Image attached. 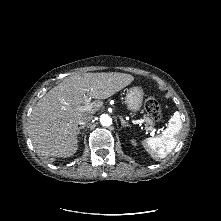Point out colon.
Returning <instances> with one entry per match:
<instances>
[{
    "instance_id": "5ec220e1",
    "label": "colon",
    "mask_w": 221,
    "mask_h": 221,
    "mask_svg": "<svg viewBox=\"0 0 221 221\" xmlns=\"http://www.w3.org/2000/svg\"><path fill=\"white\" fill-rule=\"evenodd\" d=\"M144 107L146 112L151 116L154 121H159L161 119V107L155 98L148 97L145 100Z\"/></svg>"
}]
</instances>
